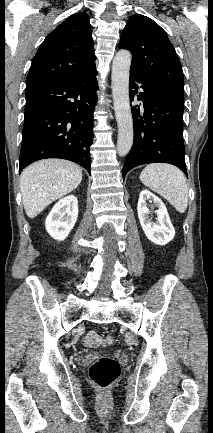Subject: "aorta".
Masks as SVG:
<instances>
[{
    "instance_id": "obj_1",
    "label": "aorta",
    "mask_w": 213,
    "mask_h": 433,
    "mask_svg": "<svg viewBox=\"0 0 213 433\" xmlns=\"http://www.w3.org/2000/svg\"><path fill=\"white\" fill-rule=\"evenodd\" d=\"M131 59L128 50H120L112 63V96L118 125L117 152L120 156L127 155L133 145V118L129 98Z\"/></svg>"
}]
</instances>
